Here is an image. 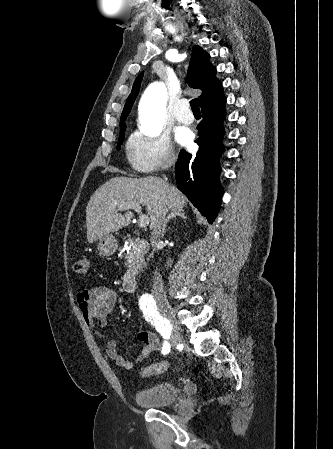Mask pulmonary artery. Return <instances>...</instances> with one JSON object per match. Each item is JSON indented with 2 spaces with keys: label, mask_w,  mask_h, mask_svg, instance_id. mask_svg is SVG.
<instances>
[{
  "label": "pulmonary artery",
  "mask_w": 333,
  "mask_h": 449,
  "mask_svg": "<svg viewBox=\"0 0 333 449\" xmlns=\"http://www.w3.org/2000/svg\"><path fill=\"white\" fill-rule=\"evenodd\" d=\"M175 118L178 122L190 124L194 120V116L188 109V104L185 101H179L174 110Z\"/></svg>",
  "instance_id": "1"
}]
</instances>
